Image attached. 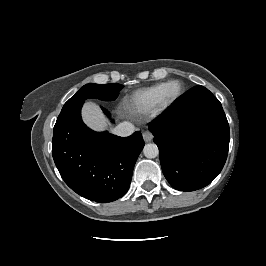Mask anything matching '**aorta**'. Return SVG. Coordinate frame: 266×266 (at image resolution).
I'll list each match as a JSON object with an SVG mask.
<instances>
[{
	"instance_id": "obj_1",
	"label": "aorta",
	"mask_w": 266,
	"mask_h": 266,
	"mask_svg": "<svg viewBox=\"0 0 266 266\" xmlns=\"http://www.w3.org/2000/svg\"><path fill=\"white\" fill-rule=\"evenodd\" d=\"M143 153L146 158L152 159L158 156L159 150L156 144L149 143L144 146Z\"/></svg>"
}]
</instances>
